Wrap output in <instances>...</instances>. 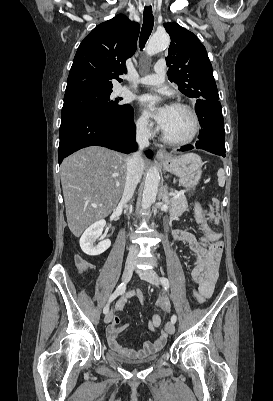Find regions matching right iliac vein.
<instances>
[{"instance_id":"63e3f726","label":"right iliac vein","mask_w":273,"mask_h":401,"mask_svg":"<svg viewBox=\"0 0 273 401\" xmlns=\"http://www.w3.org/2000/svg\"><path fill=\"white\" fill-rule=\"evenodd\" d=\"M133 271H134V266L133 265H128V266L125 267L124 273H123V276H122V281L124 283H127V282L130 281V279H131V277L133 275ZM112 318H113V311H110V312H108L106 314V316L104 318V322L105 323H110Z\"/></svg>"}]
</instances>
